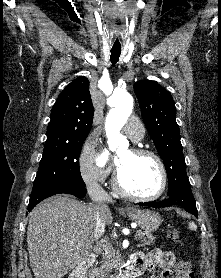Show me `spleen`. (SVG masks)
Returning <instances> with one entry per match:
<instances>
[{
    "instance_id": "1",
    "label": "spleen",
    "mask_w": 221,
    "mask_h": 278,
    "mask_svg": "<svg viewBox=\"0 0 221 278\" xmlns=\"http://www.w3.org/2000/svg\"><path fill=\"white\" fill-rule=\"evenodd\" d=\"M189 229L195 231V230L197 229V225H196L194 222H190V223H189Z\"/></svg>"
}]
</instances>
